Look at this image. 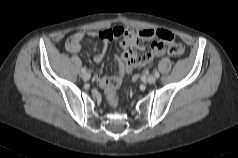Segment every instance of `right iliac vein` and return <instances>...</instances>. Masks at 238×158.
<instances>
[{"label": "right iliac vein", "instance_id": "1", "mask_svg": "<svg viewBox=\"0 0 238 158\" xmlns=\"http://www.w3.org/2000/svg\"><path fill=\"white\" fill-rule=\"evenodd\" d=\"M82 78L83 80L88 81L91 78V74L89 72H85L82 74Z\"/></svg>", "mask_w": 238, "mask_h": 158}]
</instances>
